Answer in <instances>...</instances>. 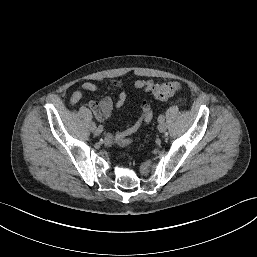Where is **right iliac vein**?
Listing matches in <instances>:
<instances>
[{
	"instance_id": "63e3f726",
	"label": "right iliac vein",
	"mask_w": 257,
	"mask_h": 257,
	"mask_svg": "<svg viewBox=\"0 0 257 257\" xmlns=\"http://www.w3.org/2000/svg\"><path fill=\"white\" fill-rule=\"evenodd\" d=\"M101 132H102V129H101L100 127H97V128H94V129H93V133H94L95 135H100Z\"/></svg>"
}]
</instances>
